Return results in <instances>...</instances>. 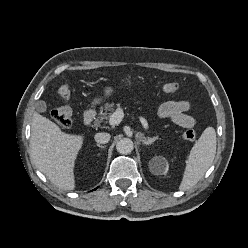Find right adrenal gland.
Segmentation results:
<instances>
[{"label": "right adrenal gland", "mask_w": 248, "mask_h": 248, "mask_svg": "<svg viewBox=\"0 0 248 248\" xmlns=\"http://www.w3.org/2000/svg\"><path fill=\"white\" fill-rule=\"evenodd\" d=\"M99 148H102V149H104L105 148V146H102V145H100V144H96Z\"/></svg>", "instance_id": "obj_1"}]
</instances>
